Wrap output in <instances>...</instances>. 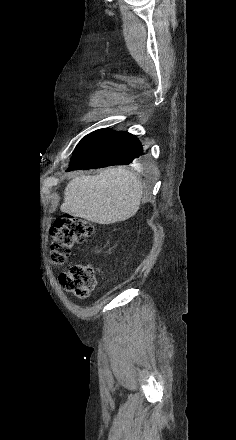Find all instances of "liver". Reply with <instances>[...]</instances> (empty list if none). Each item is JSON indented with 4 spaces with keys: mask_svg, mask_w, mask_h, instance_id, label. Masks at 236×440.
<instances>
[{
    "mask_svg": "<svg viewBox=\"0 0 236 440\" xmlns=\"http://www.w3.org/2000/svg\"><path fill=\"white\" fill-rule=\"evenodd\" d=\"M143 194L137 176L122 167L96 176L72 179L64 191L61 211L98 224H113L134 216Z\"/></svg>",
    "mask_w": 236,
    "mask_h": 440,
    "instance_id": "obj_1",
    "label": "liver"
}]
</instances>
